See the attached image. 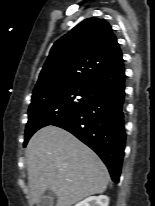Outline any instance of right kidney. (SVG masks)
Returning a JSON list of instances; mask_svg holds the SVG:
<instances>
[{"instance_id":"1","label":"right kidney","mask_w":155,"mask_h":206,"mask_svg":"<svg viewBox=\"0 0 155 206\" xmlns=\"http://www.w3.org/2000/svg\"><path fill=\"white\" fill-rule=\"evenodd\" d=\"M109 197L105 195L91 196L77 203L75 206H108Z\"/></svg>"}]
</instances>
